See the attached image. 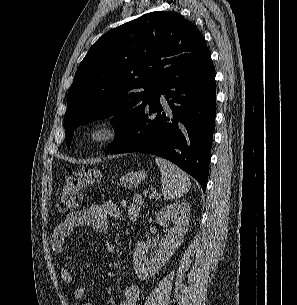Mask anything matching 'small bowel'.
I'll return each mask as SVG.
<instances>
[{"label": "small bowel", "instance_id": "c3829d8e", "mask_svg": "<svg viewBox=\"0 0 297 305\" xmlns=\"http://www.w3.org/2000/svg\"><path fill=\"white\" fill-rule=\"evenodd\" d=\"M120 217V211L112 202H103L93 204L83 210L69 214L64 220L60 221L54 228L51 235V245L57 254H64L66 251L67 240L71 236L73 229L78 226H89L97 232H105L108 229L109 221ZM104 249L107 253L113 254L116 250L115 245L109 241L104 243ZM62 281L71 285L73 278L70 270L63 266L60 269ZM85 295V289L77 286L73 290V296L76 299H82ZM140 296V287L136 283L125 286L123 295L118 305H136ZM82 305H91L83 303Z\"/></svg>", "mask_w": 297, "mask_h": 305}]
</instances>
